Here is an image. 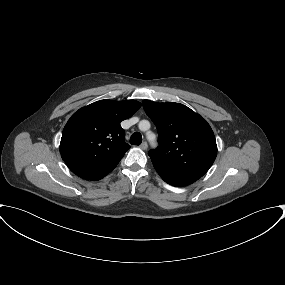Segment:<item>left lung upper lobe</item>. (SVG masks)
I'll return each instance as SVG.
<instances>
[{
    "instance_id": "left-lung-upper-lobe-1",
    "label": "left lung upper lobe",
    "mask_w": 285,
    "mask_h": 285,
    "mask_svg": "<svg viewBox=\"0 0 285 285\" xmlns=\"http://www.w3.org/2000/svg\"><path fill=\"white\" fill-rule=\"evenodd\" d=\"M143 108L158 131L159 146L149 152L151 160L203 176L217 155L215 136L206 120L180 103L143 100Z\"/></svg>"
}]
</instances>
